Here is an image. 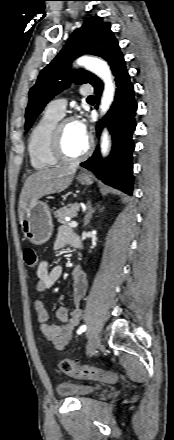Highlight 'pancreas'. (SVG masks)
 <instances>
[{
  "mask_svg": "<svg viewBox=\"0 0 174 440\" xmlns=\"http://www.w3.org/2000/svg\"><path fill=\"white\" fill-rule=\"evenodd\" d=\"M78 210H79V205L75 203L57 210L54 213V216L59 223L67 224L68 222L65 220V217L66 216L76 217Z\"/></svg>",
  "mask_w": 174,
  "mask_h": 440,
  "instance_id": "obj_1",
  "label": "pancreas"
}]
</instances>
